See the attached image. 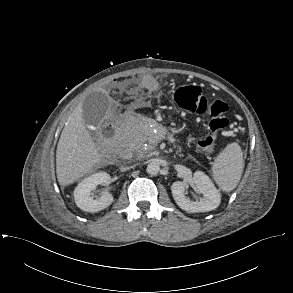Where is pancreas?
<instances>
[{"label": "pancreas", "instance_id": "pancreas-1", "mask_svg": "<svg viewBox=\"0 0 293 293\" xmlns=\"http://www.w3.org/2000/svg\"><path fill=\"white\" fill-rule=\"evenodd\" d=\"M137 138L140 139L141 138V142L143 143L145 140H148L149 138L146 135H143V133H135V131H130V130H126L124 132H122L119 136V142L120 143H127L131 140H133V138ZM161 136L157 137L155 139V141L150 145L151 147L156 146V144L161 140Z\"/></svg>", "mask_w": 293, "mask_h": 293}]
</instances>
